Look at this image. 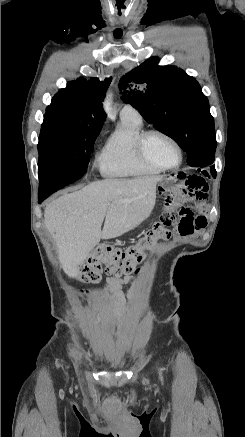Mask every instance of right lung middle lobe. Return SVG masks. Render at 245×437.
<instances>
[{"instance_id": "obj_1", "label": "right lung middle lobe", "mask_w": 245, "mask_h": 437, "mask_svg": "<svg viewBox=\"0 0 245 437\" xmlns=\"http://www.w3.org/2000/svg\"><path fill=\"white\" fill-rule=\"evenodd\" d=\"M103 125L46 111L39 136V180L46 176L83 177Z\"/></svg>"}]
</instances>
